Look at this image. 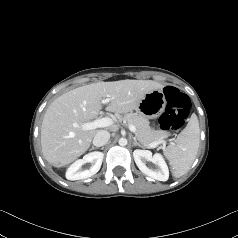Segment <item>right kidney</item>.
Here are the masks:
<instances>
[{
	"label": "right kidney",
	"instance_id": "ca27d5eb",
	"mask_svg": "<svg viewBox=\"0 0 238 238\" xmlns=\"http://www.w3.org/2000/svg\"><path fill=\"white\" fill-rule=\"evenodd\" d=\"M104 154L102 152H91L86 154L83 159L76 160L66 172V178L68 180H80L86 179L96 174L102 165ZM85 163H92V167L89 170H81L82 165Z\"/></svg>",
	"mask_w": 238,
	"mask_h": 238
}]
</instances>
